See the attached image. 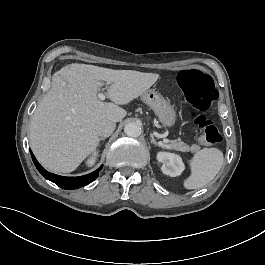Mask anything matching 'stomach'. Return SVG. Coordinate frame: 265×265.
<instances>
[{
	"instance_id": "stomach-1",
	"label": "stomach",
	"mask_w": 265,
	"mask_h": 265,
	"mask_svg": "<svg viewBox=\"0 0 265 265\" xmlns=\"http://www.w3.org/2000/svg\"><path fill=\"white\" fill-rule=\"evenodd\" d=\"M142 100L154 111L163 127L171 128L175 126L177 122L176 111L173 105L160 93L154 90H147L143 93Z\"/></svg>"
}]
</instances>
